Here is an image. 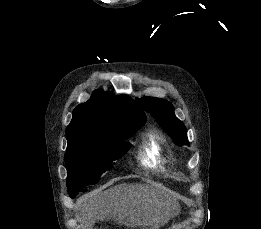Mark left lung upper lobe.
Segmentation results:
<instances>
[{"mask_svg":"<svg viewBox=\"0 0 261 229\" xmlns=\"http://www.w3.org/2000/svg\"><path fill=\"white\" fill-rule=\"evenodd\" d=\"M137 103L149 112L158 124L167 132L178 146L189 145L187 130L183 122L174 114L173 105L164 99L144 97L136 99Z\"/></svg>","mask_w":261,"mask_h":229,"instance_id":"left-lung-upper-lobe-1","label":"left lung upper lobe"}]
</instances>
